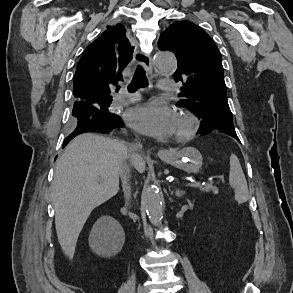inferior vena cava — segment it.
Masks as SVG:
<instances>
[{"mask_svg": "<svg viewBox=\"0 0 293 293\" xmlns=\"http://www.w3.org/2000/svg\"><path fill=\"white\" fill-rule=\"evenodd\" d=\"M135 157V155H131L128 158L130 159L131 163L133 158ZM129 172H130V168L127 164L123 163L121 166V170H120V177L122 180V187H123V192H124V196H125V205L128 206L129 205V201L131 198V188H130V184H129Z\"/></svg>", "mask_w": 293, "mask_h": 293, "instance_id": "inferior-vena-cava-1", "label": "inferior vena cava"}]
</instances>
